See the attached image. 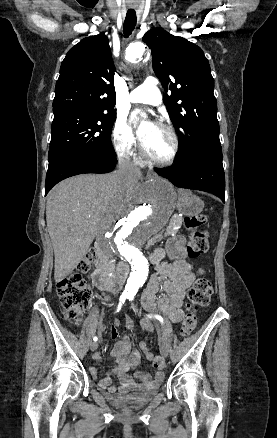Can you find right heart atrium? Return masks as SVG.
<instances>
[{
    "label": "right heart atrium",
    "instance_id": "obj_1",
    "mask_svg": "<svg viewBox=\"0 0 277 438\" xmlns=\"http://www.w3.org/2000/svg\"><path fill=\"white\" fill-rule=\"evenodd\" d=\"M113 141L117 152L123 157H133L137 146L135 135L124 116H119L113 130Z\"/></svg>",
    "mask_w": 277,
    "mask_h": 438
}]
</instances>
